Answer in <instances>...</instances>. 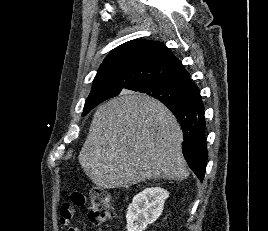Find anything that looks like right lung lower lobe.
Instances as JSON below:
<instances>
[{"label":"right lung lower lobe","mask_w":268,"mask_h":231,"mask_svg":"<svg viewBox=\"0 0 268 231\" xmlns=\"http://www.w3.org/2000/svg\"><path fill=\"white\" fill-rule=\"evenodd\" d=\"M166 105L179 121L184 141L182 143L183 155L195 175L202 182L208 151L205 139L204 105L197 89L194 97L186 103L169 102Z\"/></svg>","instance_id":"98d812e1"}]
</instances>
